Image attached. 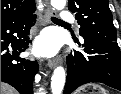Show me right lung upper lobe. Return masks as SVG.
<instances>
[{
  "label": "right lung upper lobe",
  "mask_w": 121,
  "mask_h": 94,
  "mask_svg": "<svg viewBox=\"0 0 121 94\" xmlns=\"http://www.w3.org/2000/svg\"><path fill=\"white\" fill-rule=\"evenodd\" d=\"M34 8V0H1V20L23 15Z\"/></svg>",
  "instance_id": "obj_1"
}]
</instances>
